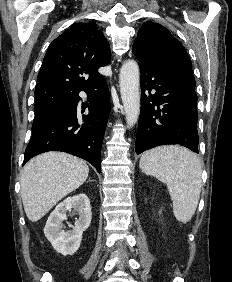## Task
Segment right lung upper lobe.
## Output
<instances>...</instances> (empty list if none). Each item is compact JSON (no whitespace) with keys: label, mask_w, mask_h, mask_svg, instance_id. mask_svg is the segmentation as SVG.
I'll return each mask as SVG.
<instances>
[{"label":"right lung upper lobe","mask_w":232,"mask_h":282,"mask_svg":"<svg viewBox=\"0 0 232 282\" xmlns=\"http://www.w3.org/2000/svg\"><path fill=\"white\" fill-rule=\"evenodd\" d=\"M110 46L94 22L72 25L49 46L37 77L35 92L68 95L96 84L98 69L110 63ZM82 75H88L86 80Z\"/></svg>","instance_id":"cb5924a9"}]
</instances>
